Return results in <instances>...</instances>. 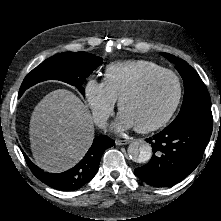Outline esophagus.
I'll list each match as a JSON object with an SVG mask.
<instances>
[{
    "instance_id": "1",
    "label": "esophagus",
    "mask_w": 221,
    "mask_h": 221,
    "mask_svg": "<svg viewBox=\"0 0 221 221\" xmlns=\"http://www.w3.org/2000/svg\"><path fill=\"white\" fill-rule=\"evenodd\" d=\"M130 142H132V140H119V139H117V140L115 141L116 145H118V146L127 145V144H129Z\"/></svg>"
}]
</instances>
